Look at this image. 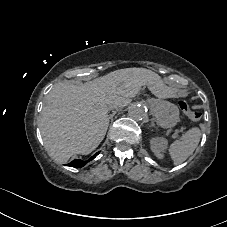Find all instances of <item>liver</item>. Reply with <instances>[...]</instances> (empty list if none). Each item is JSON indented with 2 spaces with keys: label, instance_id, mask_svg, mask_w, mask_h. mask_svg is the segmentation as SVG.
<instances>
[{
  "label": "liver",
  "instance_id": "1",
  "mask_svg": "<svg viewBox=\"0 0 227 227\" xmlns=\"http://www.w3.org/2000/svg\"><path fill=\"white\" fill-rule=\"evenodd\" d=\"M155 76L147 69L128 68L82 88L71 83L55 85L46 97L39 124L50 157L65 163L75 154L93 152L108 129L111 98L116 94L133 97Z\"/></svg>",
  "mask_w": 227,
  "mask_h": 227
}]
</instances>
